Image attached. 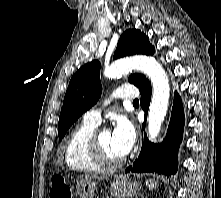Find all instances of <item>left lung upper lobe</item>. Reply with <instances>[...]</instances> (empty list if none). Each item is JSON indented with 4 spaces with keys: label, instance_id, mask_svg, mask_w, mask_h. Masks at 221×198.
<instances>
[{
    "label": "left lung upper lobe",
    "instance_id": "1",
    "mask_svg": "<svg viewBox=\"0 0 221 198\" xmlns=\"http://www.w3.org/2000/svg\"><path fill=\"white\" fill-rule=\"evenodd\" d=\"M154 47L140 30L128 29L120 37L113 58L134 54H153ZM100 63L92 61L82 66L71 78L61 109L58 136L62 139L69 127L101 96ZM128 81L138 88L148 81L144 75L133 74Z\"/></svg>",
    "mask_w": 221,
    "mask_h": 198
}]
</instances>
